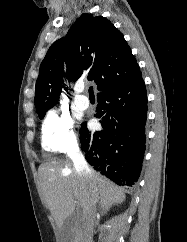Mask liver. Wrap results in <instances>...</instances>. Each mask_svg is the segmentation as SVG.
Returning <instances> with one entry per match:
<instances>
[{
    "label": "liver",
    "instance_id": "liver-1",
    "mask_svg": "<svg viewBox=\"0 0 187 242\" xmlns=\"http://www.w3.org/2000/svg\"><path fill=\"white\" fill-rule=\"evenodd\" d=\"M92 173V181L79 176L69 159L51 160L40 165L38 174L42 194L59 228L73 214L75 201L82 208V221H85L91 204V183L97 189V201L102 208L109 210L113 204L125 200L122 188L93 170Z\"/></svg>",
    "mask_w": 187,
    "mask_h": 242
}]
</instances>
